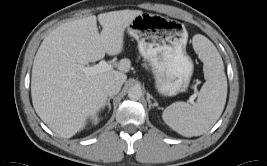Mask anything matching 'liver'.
<instances>
[{
    "label": "liver",
    "mask_w": 267,
    "mask_h": 166,
    "mask_svg": "<svg viewBox=\"0 0 267 166\" xmlns=\"http://www.w3.org/2000/svg\"><path fill=\"white\" fill-rule=\"evenodd\" d=\"M142 13L120 10L90 15L58 26L42 41L33 62L31 96L36 113L53 132L63 138L74 136L105 106L106 81H126L129 59H121L118 70L89 76L81 67L106 53H121L125 29Z\"/></svg>",
    "instance_id": "obj_1"
}]
</instances>
